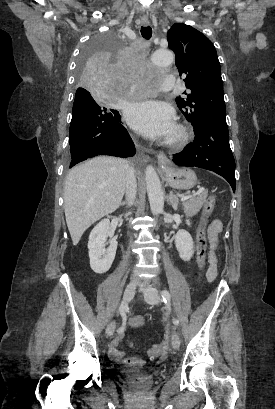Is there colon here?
I'll return each instance as SVG.
<instances>
[{"label": "colon", "instance_id": "1", "mask_svg": "<svg viewBox=\"0 0 275 409\" xmlns=\"http://www.w3.org/2000/svg\"><path fill=\"white\" fill-rule=\"evenodd\" d=\"M215 197L210 196L207 201L205 202L203 209L201 211V220L200 226L196 235V259H197V266L199 270H203L205 266V256H206V246H207V238L205 236V227L207 226L210 215L215 207ZM112 347H115L114 345ZM151 350L149 351V356L151 358H158L160 352L162 350V343L161 342H152L151 343Z\"/></svg>", "mask_w": 275, "mask_h": 409}]
</instances>
